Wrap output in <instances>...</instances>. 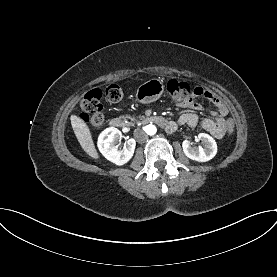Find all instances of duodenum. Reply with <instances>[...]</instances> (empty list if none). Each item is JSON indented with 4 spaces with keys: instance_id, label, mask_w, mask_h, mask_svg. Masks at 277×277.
I'll list each match as a JSON object with an SVG mask.
<instances>
[{
    "instance_id": "duodenum-1",
    "label": "duodenum",
    "mask_w": 277,
    "mask_h": 277,
    "mask_svg": "<svg viewBox=\"0 0 277 277\" xmlns=\"http://www.w3.org/2000/svg\"><path fill=\"white\" fill-rule=\"evenodd\" d=\"M143 121L147 123H155L164 128L168 133L174 132L177 127L175 122L168 121L164 117L158 115L147 116L143 119ZM109 124L113 128H122L125 126V121L122 118L114 117L110 120Z\"/></svg>"
}]
</instances>
